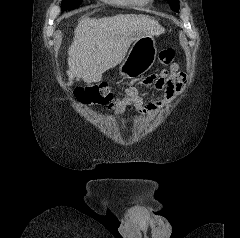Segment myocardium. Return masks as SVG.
<instances>
[{
    "instance_id": "obj_1",
    "label": "myocardium",
    "mask_w": 240,
    "mask_h": 238,
    "mask_svg": "<svg viewBox=\"0 0 240 238\" xmlns=\"http://www.w3.org/2000/svg\"><path fill=\"white\" fill-rule=\"evenodd\" d=\"M148 2L152 1V0H147ZM130 2H133V0H130Z\"/></svg>"
}]
</instances>
